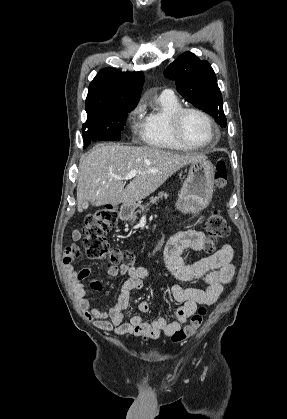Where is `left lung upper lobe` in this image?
<instances>
[{"instance_id": "left-lung-upper-lobe-1", "label": "left lung upper lobe", "mask_w": 287, "mask_h": 419, "mask_svg": "<svg viewBox=\"0 0 287 419\" xmlns=\"http://www.w3.org/2000/svg\"><path fill=\"white\" fill-rule=\"evenodd\" d=\"M164 75L175 82L177 91L188 102L213 116L222 128L226 127L222 95L207 61L185 52L167 67Z\"/></svg>"}]
</instances>
